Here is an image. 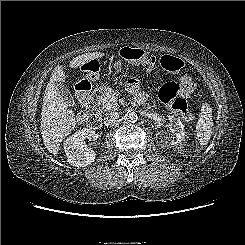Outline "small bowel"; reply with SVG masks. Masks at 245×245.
Wrapping results in <instances>:
<instances>
[{
    "instance_id": "1",
    "label": "small bowel",
    "mask_w": 245,
    "mask_h": 245,
    "mask_svg": "<svg viewBox=\"0 0 245 245\" xmlns=\"http://www.w3.org/2000/svg\"><path fill=\"white\" fill-rule=\"evenodd\" d=\"M127 89L133 95L134 101L136 103H143L146 100L147 95L146 93L140 91V84L137 79L135 78L129 79L127 81Z\"/></svg>"
}]
</instances>
